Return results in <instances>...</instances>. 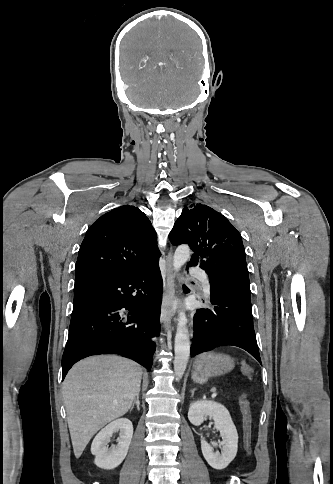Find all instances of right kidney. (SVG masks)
<instances>
[{
  "instance_id": "ca27d5eb",
  "label": "right kidney",
  "mask_w": 333,
  "mask_h": 484,
  "mask_svg": "<svg viewBox=\"0 0 333 484\" xmlns=\"http://www.w3.org/2000/svg\"><path fill=\"white\" fill-rule=\"evenodd\" d=\"M119 432L117 446L108 448V442L113 433ZM133 425L129 419L122 418L111 422L94 438L91 453L95 456V465L104 470L118 467L125 459L131 439Z\"/></svg>"
}]
</instances>
